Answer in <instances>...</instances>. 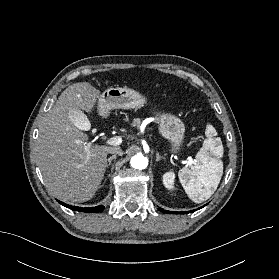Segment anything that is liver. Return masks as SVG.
<instances>
[{
	"mask_svg": "<svg viewBox=\"0 0 279 279\" xmlns=\"http://www.w3.org/2000/svg\"><path fill=\"white\" fill-rule=\"evenodd\" d=\"M100 95L89 82L70 85L39 127L35 146L37 163L46 187L62 201L85 202L92 199L104 177L107 155L114 147L91 145L87 160L88 135L69 117L73 109L92 112Z\"/></svg>",
	"mask_w": 279,
	"mask_h": 279,
	"instance_id": "6515ba94",
	"label": "liver"
}]
</instances>
